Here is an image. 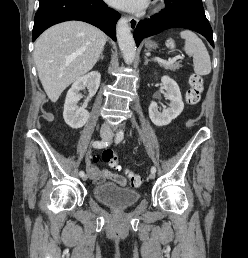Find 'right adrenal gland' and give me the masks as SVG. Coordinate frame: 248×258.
<instances>
[{
	"label": "right adrenal gland",
	"mask_w": 248,
	"mask_h": 258,
	"mask_svg": "<svg viewBox=\"0 0 248 258\" xmlns=\"http://www.w3.org/2000/svg\"><path fill=\"white\" fill-rule=\"evenodd\" d=\"M100 59H101V60H103V59H104V57H103V51L101 52V55H100V57H99L98 61H99Z\"/></svg>",
	"instance_id": "obj_1"
}]
</instances>
